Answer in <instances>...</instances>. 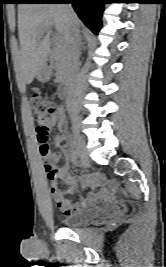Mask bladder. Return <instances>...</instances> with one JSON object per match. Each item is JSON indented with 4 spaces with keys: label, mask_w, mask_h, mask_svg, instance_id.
Returning a JSON list of instances; mask_svg holds the SVG:
<instances>
[{
    "label": "bladder",
    "mask_w": 166,
    "mask_h": 267,
    "mask_svg": "<svg viewBox=\"0 0 166 267\" xmlns=\"http://www.w3.org/2000/svg\"><path fill=\"white\" fill-rule=\"evenodd\" d=\"M97 215L98 210L96 208L88 209L66 215L62 218L61 222L66 228H76L93 220Z\"/></svg>",
    "instance_id": "obj_1"
}]
</instances>
